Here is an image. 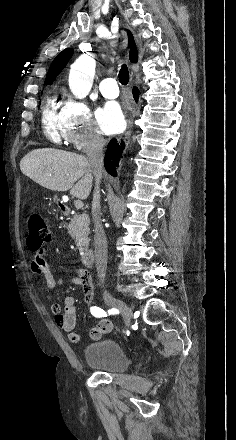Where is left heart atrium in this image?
<instances>
[{"instance_id": "1", "label": "left heart atrium", "mask_w": 236, "mask_h": 440, "mask_svg": "<svg viewBox=\"0 0 236 440\" xmlns=\"http://www.w3.org/2000/svg\"><path fill=\"white\" fill-rule=\"evenodd\" d=\"M98 124L106 134L117 133L123 126L121 109L116 103H107L97 114Z\"/></svg>"}]
</instances>
